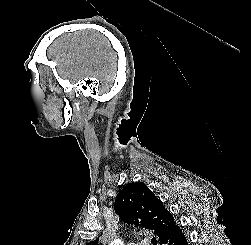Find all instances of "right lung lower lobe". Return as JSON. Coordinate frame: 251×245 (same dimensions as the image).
I'll return each instance as SVG.
<instances>
[{"instance_id": "obj_1", "label": "right lung lower lobe", "mask_w": 251, "mask_h": 245, "mask_svg": "<svg viewBox=\"0 0 251 245\" xmlns=\"http://www.w3.org/2000/svg\"><path fill=\"white\" fill-rule=\"evenodd\" d=\"M162 245H188L182 230L179 228L169 239L164 241Z\"/></svg>"}]
</instances>
